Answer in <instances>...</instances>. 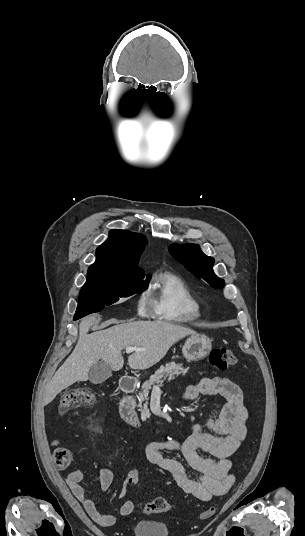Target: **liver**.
<instances>
[{
  "instance_id": "liver-1",
  "label": "liver",
  "mask_w": 305,
  "mask_h": 536,
  "mask_svg": "<svg viewBox=\"0 0 305 536\" xmlns=\"http://www.w3.org/2000/svg\"><path fill=\"white\" fill-rule=\"evenodd\" d=\"M100 316H87L79 324V340L71 356L57 370L55 376L47 384L44 406L50 404L57 394L69 388L75 382H87L91 366L99 360L111 366L114 372H119L124 366L122 350L125 348H146L134 352L128 358L132 370H148L166 356L169 348L190 334H196L189 328L175 326L169 322H133L120 324L118 320H107L109 324H118L108 330L88 334L91 326L99 324Z\"/></svg>"
}]
</instances>
